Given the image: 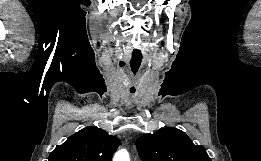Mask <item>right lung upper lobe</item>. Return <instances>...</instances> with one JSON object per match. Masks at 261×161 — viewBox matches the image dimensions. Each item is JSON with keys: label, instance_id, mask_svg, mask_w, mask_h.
<instances>
[{"label": "right lung upper lobe", "instance_id": "obj_1", "mask_svg": "<svg viewBox=\"0 0 261 161\" xmlns=\"http://www.w3.org/2000/svg\"><path fill=\"white\" fill-rule=\"evenodd\" d=\"M117 137L97 127L88 126L57 145L49 161H111L120 145Z\"/></svg>", "mask_w": 261, "mask_h": 161}]
</instances>
